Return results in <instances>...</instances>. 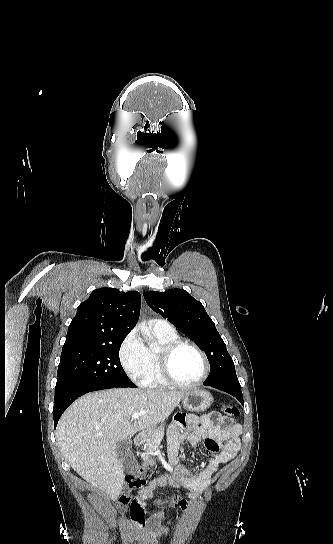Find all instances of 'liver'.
Segmentation results:
<instances>
[{"instance_id": "1", "label": "liver", "mask_w": 333, "mask_h": 544, "mask_svg": "<svg viewBox=\"0 0 333 544\" xmlns=\"http://www.w3.org/2000/svg\"><path fill=\"white\" fill-rule=\"evenodd\" d=\"M188 392L116 388L88 393L62 415L56 429L58 446L71 467L112 500L124 482L118 441L150 430L165 420ZM134 413H142L137 419Z\"/></svg>"}]
</instances>
